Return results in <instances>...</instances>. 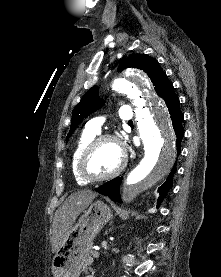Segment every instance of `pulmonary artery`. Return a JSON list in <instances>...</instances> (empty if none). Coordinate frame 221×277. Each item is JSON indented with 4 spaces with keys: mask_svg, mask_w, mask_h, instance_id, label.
<instances>
[{
    "mask_svg": "<svg viewBox=\"0 0 221 277\" xmlns=\"http://www.w3.org/2000/svg\"><path fill=\"white\" fill-rule=\"evenodd\" d=\"M119 117L124 121L132 120L133 111L131 107L128 105L121 106L119 109ZM104 120V117H96L87 123L86 128L95 133H99L101 130V126L104 123Z\"/></svg>",
    "mask_w": 221,
    "mask_h": 277,
    "instance_id": "e3ab8cb5",
    "label": "pulmonary artery"
}]
</instances>
